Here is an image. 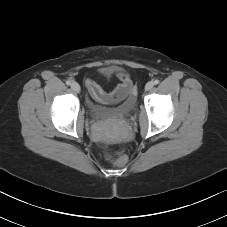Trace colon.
<instances>
[{
	"label": "colon",
	"mask_w": 227,
	"mask_h": 227,
	"mask_svg": "<svg viewBox=\"0 0 227 227\" xmlns=\"http://www.w3.org/2000/svg\"><path fill=\"white\" fill-rule=\"evenodd\" d=\"M107 159L112 162L115 166H123L127 162V157L124 154H120L117 156H113L111 154H107Z\"/></svg>",
	"instance_id": "obj_1"
}]
</instances>
